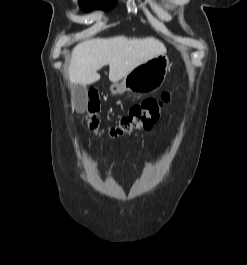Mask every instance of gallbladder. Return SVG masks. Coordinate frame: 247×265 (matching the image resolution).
Masks as SVG:
<instances>
[{
    "label": "gallbladder",
    "instance_id": "bac80fb5",
    "mask_svg": "<svg viewBox=\"0 0 247 265\" xmlns=\"http://www.w3.org/2000/svg\"><path fill=\"white\" fill-rule=\"evenodd\" d=\"M87 89L85 85L74 86V103L75 109L78 113H83L86 110L87 105Z\"/></svg>",
    "mask_w": 247,
    "mask_h": 265
}]
</instances>
